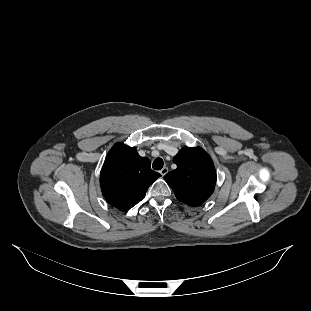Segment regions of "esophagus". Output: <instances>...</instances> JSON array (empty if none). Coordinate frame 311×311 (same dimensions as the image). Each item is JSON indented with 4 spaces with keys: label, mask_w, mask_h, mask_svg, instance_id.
<instances>
[{
    "label": "esophagus",
    "mask_w": 311,
    "mask_h": 311,
    "mask_svg": "<svg viewBox=\"0 0 311 311\" xmlns=\"http://www.w3.org/2000/svg\"><path fill=\"white\" fill-rule=\"evenodd\" d=\"M168 171H169V170H168V167H163V168L160 170V174H161L162 176H164Z\"/></svg>",
    "instance_id": "obj_1"
}]
</instances>
